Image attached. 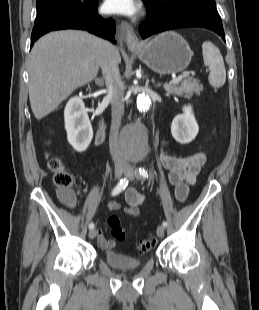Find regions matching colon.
Instances as JSON below:
<instances>
[{
    "label": "colon",
    "mask_w": 259,
    "mask_h": 310,
    "mask_svg": "<svg viewBox=\"0 0 259 310\" xmlns=\"http://www.w3.org/2000/svg\"><path fill=\"white\" fill-rule=\"evenodd\" d=\"M49 167L55 173V184L63 191L64 200L68 204L75 203V196L69 191L72 185V177L63 168L61 161L58 158H51L49 160ZM108 226L111 229L112 237L116 240H123L125 238V230L121 226L120 218L111 214L107 219ZM156 244V239L153 236H148L141 240L138 244V253L141 255L147 254L152 250Z\"/></svg>",
    "instance_id": "1"
}]
</instances>
